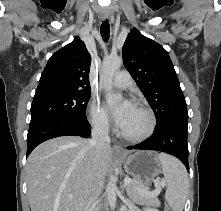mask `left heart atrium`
<instances>
[{"instance_id":"1","label":"left heart atrium","mask_w":221,"mask_h":211,"mask_svg":"<svg viewBox=\"0 0 221 211\" xmlns=\"http://www.w3.org/2000/svg\"><path fill=\"white\" fill-rule=\"evenodd\" d=\"M133 104L129 100H123L119 105L110 107L113 119L117 126L121 127L130 112Z\"/></svg>"}]
</instances>
